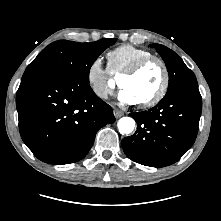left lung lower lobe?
Wrapping results in <instances>:
<instances>
[{
    "label": "left lung lower lobe",
    "instance_id": "obj_1",
    "mask_svg": "<svg viewBox=\"0 0 221 221\" xmlns=\"http://www.w3.org/2000/svg\"><path fill=\"white\" fill-rule=\"evenodd\" d=\"M202 111L198 87L178 89L148 111L131 113L136 132L122 140L131 160L151 167L177 162L193 145Z\"/></svg>",
    "mask_w": 221,
    "mask_h": 221
}]
</instances>
